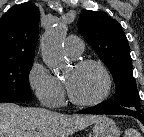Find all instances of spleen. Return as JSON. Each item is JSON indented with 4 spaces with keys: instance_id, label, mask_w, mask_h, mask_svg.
I'll return each instance as SVG.
<instances>
[{
    "instance_id": "spleen-1",
    "label": "spleen",
    "mask_w": 144,
    "mask_h": 137,
    "mask_svg": "<svg viewBox=\"0 0 144 137\" xmlns=\"http://www.w3.org/2000/svg\"><path fill=\"white\" fill-rule=\"evenodd\" d=\"M128 135H129V137H141L140 133H138L134 129H129L128 130Z\"/></svg>"
}]
</instances>
